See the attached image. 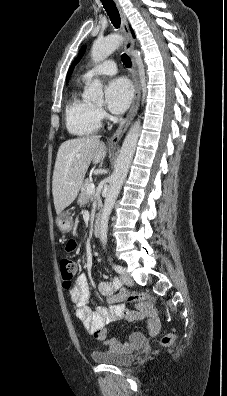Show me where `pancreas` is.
<instances>
[{"label":"pancreas","mask_w":227,"mask_h":396,"mask_svg":"<svg viewBox=\"0 0 227 396\" xmlns=\"http://www.w3.org/2000/svg\"><path fill=\"white\" fill-rule=\"evenodd\" d=\"M92 184L90 179H86L81 187V193L78 198V204L80 206L84 205L87 203V200L89 198V194L87 193V188Z\"/></svg>","instance_id":"pancreas-1"}]
</instances>
